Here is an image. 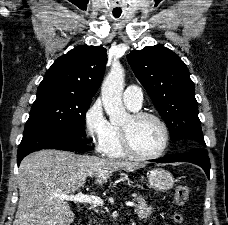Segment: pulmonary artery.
Wrapping results in <instances>:
<instances>
[{"mask_svg":"<svg viewBox=\"0 0 228 225\" xmlns=\"http://www.w3.org/2000/svg\"><path fill=\"white\" fill-rule=\"evenodd\" d=\"M123 101L127 107L139 110L143 105L142 90L138 89V85H129V89L123 93Z\"/></svg>","mask_w":228,"mask_h":225,"instance_id":"e3ab8cb5","label":"pulmonary artery"}]
</instances>
